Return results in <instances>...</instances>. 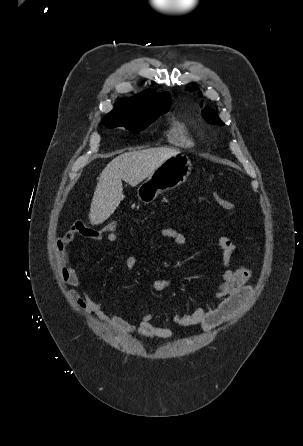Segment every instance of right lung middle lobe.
<instances>
[{
    "label": "right lung middle lobe",
    "instance_id": "1",
    "mask_svg": "<svg viewBox=\"0 0 303 446\" xmlns=\"http://www.w3.org/2000/svg\"><path fill=\"white\" fill-rule=\"evenodd\" d=\"M169 106L157 107L144 114H124L110 112L102 120L108 128L123 126L134 133L147 128L155 119L168 111Z\"/></svg>",
    "mask_w": 303,
    "mask_h": 446
}]
</instances>
